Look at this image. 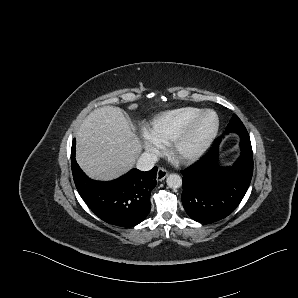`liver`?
I'll return each instance as SVG.
<instances>
[{
  "mask_svg": "<svg viewBox=\"0 0 298 298\" xmlns=\"http://www.w3.org/2000/svg\"><path fill=\"white\" fill-rule=\"evenodd\" d=\"M144 149L117 107L90 112L78 127L75 160L93 181L110 182L134 168Z\"/></svg>",
  "mask_w": 298,
  "mask_h": 298,
  "instance_id": "1",
  "label": "liver"
}]
</instances>
